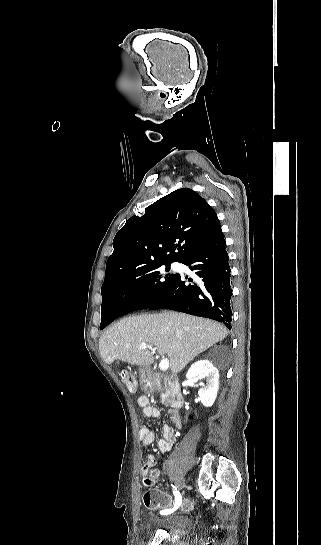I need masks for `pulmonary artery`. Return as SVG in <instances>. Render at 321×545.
I'll return each instance as SVG.
<instances>
[{"label": "pulmonary artery", "instance_id": "obj_1", "mask_svg": "<svg viewBox=\"0 0 321 545\" xmlns=\"http://www.w3.org/2000/svg\"><path fill=\"white\" fill-rule=\"evenodd\" d=\"M181 266H182V265L179 264V263H177V262L171 263V268H172L173 270H177V269H179Z\"/></svg>", "mask_w": 321, "mask_h": 545}]
</instances>
